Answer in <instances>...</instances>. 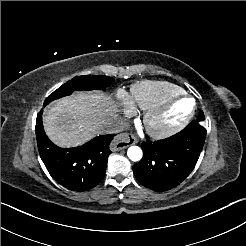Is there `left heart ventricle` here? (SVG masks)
<instances>
[{"label": "left heart ventricle", "instance_id": "1", "mask_svg": "<svg viewBox=\"0 0 246 246\" xmlns=\"http://www.w3.org/2000/svg\"><path fill=\"white\" fill-rule=\"evenodd\" d=\"M187 104H189V102L186 100L177 103L169 112L155 120V126L159 128L165 127L179 120L180 112Z\"/></svg>", "mask_w": 246, "mask_h": 246}]
</instances>
